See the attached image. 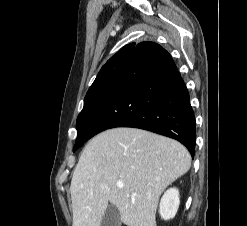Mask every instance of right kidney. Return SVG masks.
I'll use <instances>...</instances> for the list:
<instances>
[{
  "label": "right kidney",
  "instance_id": "ca27d5eb",
  "mask_svg": "<svg viewBox=\"0 0 247 226\" xmlns=\"http://www.w3.org/2000/svg\"><path fill=\"white\" fill-rule=\"evenodd\" d=\"M179 191L176 188L168 189L160 201L159 213L164 220L172 219L179 208Z\"/></svg>",
  "mask_w": 247,
  "mask_h": 226
}]
</instances>
